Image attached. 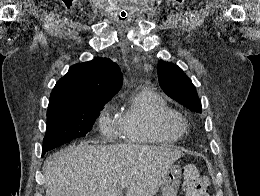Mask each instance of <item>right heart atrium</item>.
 Wrapping results in <instances>:
<instances>
[{
  "mask_svg": "<svg viewBox=\"0 0 260 196\" xmlns=\"http://www.w3.org/2000/svg\"><path fill=\"white\" fill-rule=\"evenodd\" d=\"M98 126L100 132L107 137L118 128L117 120L113 117L112 113L107 107L101 111L98 117ZM126 192H147V190H126Z\"/></svg>",
  "mask_w": 260,
  "mask_h": 196,
  "instance_id": "1",
  "label": "right heart atrium"
}]
</instances>
